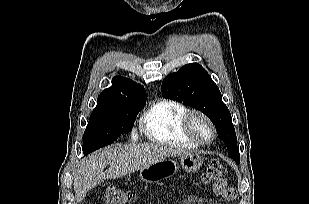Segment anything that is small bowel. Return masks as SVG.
<instances>
[{
  "mask_svg": "<svg viewBox=\"0 0 309 204\" xmlns=\"http://www.w3.org/2000/svg\"><path fill=\"white\" fill-rule=\"evenodd\" d=\"M213 192L219 197L227 200H233L236 197L235 190L227 185L225 179L220 180L213 186ZM193 204H202L200 199H194Z\"/></svg>",
  "mask_w": 309,
  "mask_h": 204,
  "instance_id": "c3829d8e",
  "label": "small bowel"
}]
</instances>
